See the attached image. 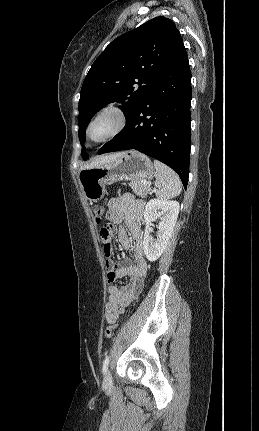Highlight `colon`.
<instances>
[{
    "label": "colon",
    "mask_w": 259,
    "mask_h": 431,
    "mask_svg": "<svg viewBox=\"0 0 259 431\" xmlns=\"http://www.w3.org/2000/svg\"><path fill=\"white\" fill-rule=\"evenodd\" d=\"M93 213L96 217V220L100 222L101 217L103 215V207L99 204H95L93 206ZM99 233H100L101 240L103 242L104 254L108 255L111 249L110 241L113 235V225L108 222L102 223L100 225ZM116 327L117 325L115 323H112L106 328L105 335L107 338H112Z\"/></svg>",
    "instance_id": "colon-1"
}]
</instances>
